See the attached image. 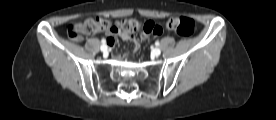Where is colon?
I'll list each match as a JSON object with an SVG mask.
<instances>
[{"instance_id":"1","label":"colon","mask_w":276,"mask_h":120,"mask_svg":"<svg viewBox=\"0 0 276 120\" xmlns=\"http://www.w3.org/2000/svg\"><path fill=\"white\" fill-rule=\"evenodd\" d=\"M166 27L168 30L176 32L182 37H189L195 31L194 21L184 16L171 17L167 21ZM140 30L150 36H158L162 32V28L152 21L142 23L136 19L126 18L112 23L103 17H91L70 24L68 26V36L74 41H80L83 35H93L102 31L118 34L124 39L133 36L134 33Z\"/></svg>"}]
</instances>
